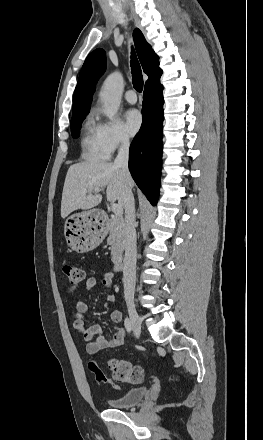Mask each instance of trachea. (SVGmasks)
<instances>
[{
	"label": "trachea",
	"mask_w": 263,
	"mask_h": 440,
	"mask_svg": "<svg viewBox=\"0 0 263 440\" xmlns=\"http://www.w3.org/2000/svg\"><path fill=\"white\" fill-rule=\"evenodd\" d=\"M131 73H132V83L135 90L138 92H142L143 90L142 71L133 49L131 52Z\"/></svg>",
	"instance_id": "trachea-1"
}]
</instances>
